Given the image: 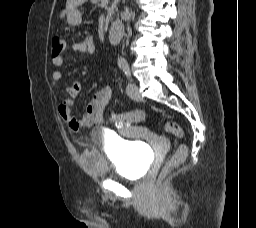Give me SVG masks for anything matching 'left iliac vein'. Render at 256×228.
I'll return each mask as SVG.
<instances>
[{
  "label": "left iliac vein",
  "instance_id": "4c4485c4",
  "mask_svg": "<svg viewBox=\"0 0 256 228\" xmlns=\"http://www.w3.org/2000/svg\"><path fill=\"white\" fill-rule=\"evenodd\" d=\"M127 94L128 96L135 100V101H141L142 97L141 94L139 92V88L135 83H129L127 86Z\"/></svg>",
  "mask_w": 256,
  "mask_h": 228
}]
</instances>
